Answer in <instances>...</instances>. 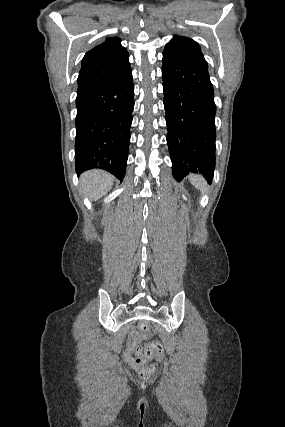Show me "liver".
Listing matches in <instances>:
<instances>
[{
    "instance_id": "1",
    "label": "liver",
    "mask_w": 285,
    "mask_h": 427,
    "mask_svg": "<svg viewBox=\"0 0 285 427\" xmlns=\"http://www.w3.org/2000/svg\"><path fill=\"white\" fill-rule=\"evenodd\" d=\"M113 182L114 177L103 170H90L80 176L82 190L93 201L106 195Z\"/></svg>"
}]
</instances>
